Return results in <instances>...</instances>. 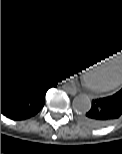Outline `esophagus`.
I'll list each match as a JSON object with an SVG mask.
<instances>
[{"instance_id":"esophagus-1","label":"esophagus","mask_w":122,"mask_h":154,"mask_svg":"<svg viewBox=\"0 0 122 154\" xmlns=\"http://www.w3.org/2000/svg\"><path fill=\"white\" fill-rule=\"evenodd\" d=\"M66 90H67V92L69 93V94H71V95H75V94H77L78 93V89L77 88H75V87H68V88H66Z\"/></svg>"}]
</instances>
